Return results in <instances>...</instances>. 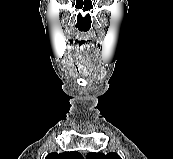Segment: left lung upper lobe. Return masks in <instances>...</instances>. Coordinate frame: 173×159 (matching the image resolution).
I'll return each instance as SVG.
<instances>
[{"mask_svg":"<svg viewBox=\"0 0 173 159\" xmlns=\"http://www.w3.org/2000/svg\"><path fill=\"white\" fill-rule=\"evenodd\" d=\"M87 159H121L117 153H108L107 155L103 153H88Z\"/></svg>","mask_w":173,"mask_h":159,"instance_id":"obj_1","label":"left lung upper lobe"}]
</instances>
